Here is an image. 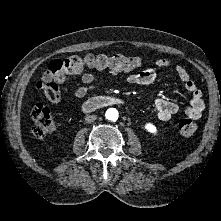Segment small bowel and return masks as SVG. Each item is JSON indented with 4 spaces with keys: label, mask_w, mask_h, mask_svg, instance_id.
<instances>
[{
    "label": "small bowel",
    "mask_w": 221,
    "mask_h": 221,
    "mask_svg": "<svg viewBox=\"0 0 221 221\" xmlns=\"http://www.w3.org/2000/svg\"><path fill=\"white\" fill-rule=\"evenodd\" d=\"M170 65L171 63L167 58H158L155 61V66L159 69L168 68ZM173 71L175 72L176 76L183 82L185 90L190 94V102L185 109V115L193 119H199L202 116L205 108L201 91L191 80L188 71L183 66L174 65ZM109 74L114 75L115 72L110 71ZM79 76L83 85L76 88L73 92L74 97L77 99L85 97L89 91L95 89L99 84L98 78L93 73L82 72ZM156 77V69L147 68L142 71L127 73L125 80L131 84L144 86L153 83L156 80ZM46 97L51 103L54 104L61 101L60 93L55 98L48 96ZM178 111L179 106L170 100L158 98L154 102V116L161 121L169 120Z\"/></svg>",
    "instance_id": "small-bowel-1"
}]
</instances>
